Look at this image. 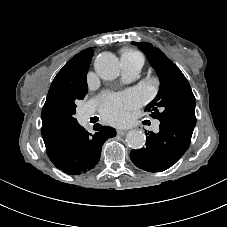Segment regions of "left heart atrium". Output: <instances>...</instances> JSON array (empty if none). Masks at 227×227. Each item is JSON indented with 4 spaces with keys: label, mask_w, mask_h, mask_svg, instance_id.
Masks as SVG:
<instances>
[{
    "label": "left heart atrium",
    "mask_w": 227,
    "mask_h": 227,
    "mask_svg": "<svg viewBox=\"0 0 227 227\" xmlns=\"http://www.w3.org/2000/svg\"><path fill=\"white\" fill-rule=\"evenodd\" d=\"M140 101V97L134 92L113 95L103 101L100 111L107 121L121 123L126 119L127 111L138 106Z\"/></svg>",
    "instance_id": "1"
}]
</instances>
